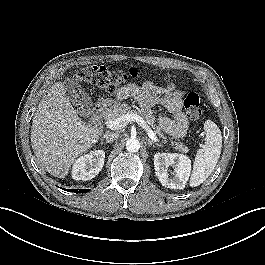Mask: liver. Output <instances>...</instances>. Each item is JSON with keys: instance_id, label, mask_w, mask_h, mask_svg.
<instances>
[{"instance_id": "1", "label": "liver", "mask_w": 265, "mask_h": 265, "mask_svg": "<svg viewBox=\"0 0 265 265\" xmlns=\"http://www.w3.org/2000/svg\"><path fill=\"white\" fill-rule=\"evenodd\" d=\"M100 130L83 122L70 103L61 82L41 99L31 127L32 149L46 170L65 178L76 158L99 139Z\"/></svg>"}]
</instances>
